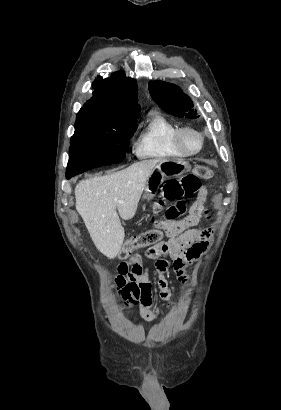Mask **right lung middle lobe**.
<instances>
[{
    "instance_id": "obj_1",
    "label": "right lung middle lobe",
    "mask_w": 281,
    "mask_h": 410,
    "mask_svg": "<svg viewBox=\"0 0 281 410\" xmlns=\"http://www.w3.org/2000/svg\"><path fill=\"white\" fill-rule=\"evenodd\" d=\"M137 117L108 118L79 111L70 141L66 175H76L98 166L117 163L126 157Z\"/></svg>"
}]
</instances>
